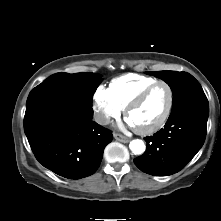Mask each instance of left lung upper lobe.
<instances>
[{
	"label": "left lung upper lobe",
	"mask_w": 221,
	"mask_h": 221,
	"mask_svg": "<svg viewBox=\"0 0 221 221\" xmlns=\"http://www.w3.org/2000/svg\"><path fill=\"white\" fill-rule=\"evenodd\" d=\"M165 81L173 93V107L190 96L204 93L199 82L189 73L176 71L147 72Z\"/></svg>",
	"instance_id": "1"
}]
</instances>
